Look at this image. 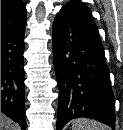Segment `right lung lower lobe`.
<instances>
[{
	"label": "right lung lower lobe",
	"mask_w": 123,
	"mask_h": 130,
	"mask_svg": "<svg viewBox=\"0 0 123 130\" xmlns=\"http://www.w3.org/2000/svg\"><path fill=\"white\" fill-rule=\"evenodd\" d=\"M26 22L1 27V111L26 129L24 35Z\"/></svg>",
	"instance_id": "98d812e1"
}]
</instances>
